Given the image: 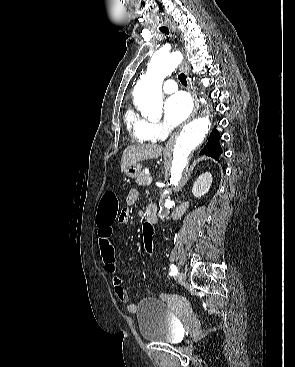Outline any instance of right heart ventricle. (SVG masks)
<instances>
[{
	"instance_id": "right-heart-ventricle-1",
	"label": "right heart ventricle",
	"mask_w": 295,
	"mask_h": 367,
	"mask_svg": "<svg viewBox=\"0 0 295 367\" xmlns=\"http://www.w3.org/2000/svg\"><path fill=\"white\" fill-rule=\"evenodd\" d=\"M124 121L132 138L139 143H148L155 140L150 131V122L138 115L132 108H128Z\"/></svg>"
}]
</instances>
